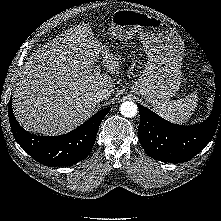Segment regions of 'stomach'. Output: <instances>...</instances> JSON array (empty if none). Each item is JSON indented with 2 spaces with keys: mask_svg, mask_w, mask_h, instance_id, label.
Returning <instances> with one entry per match:
<instances>
[{
  "mask_svg": "<svg viewBox=\"0 0 221 221\" xmlns=\"http://www.w3.org/2000/svg\"><path fill=\"white\" fill-rule=\"evenodd\" d=\"M109 34L124 41L139 35L148 62L131 92L153 106L168 102L179 90L182 77L184 42L175 29L147 13L120 9L112 14Z\"/></svg>",
  "mask_w": 221,
  "mask_h": 221,
  "instance_id": "obj_1",
  "label": "stomach"
}]
</instances>
